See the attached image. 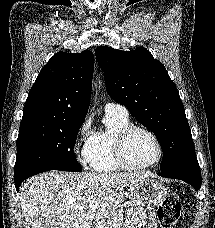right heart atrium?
Returning <instances> with one entry per match:
<instances>
[{
	"label": "right heart atrium",
	"mask_w": 215,
	"mask_h": 228,
	"mask_svg": "<svg viewBox=\"0 0 215 228\" xmlns=\"http://www.w3.org/2000/svg\"><path fill=\"white\" fill-rule=\"evenodd\" d=\"M90 126H91V121L89 119L84 120L77 130V137L79 138V137L85 135L88 132V130L90 129ZM78 158L79 159L84 158L83 150L78 152Z\"/></svg>",
	"instance_id": "obj_1"
}]
</instances>
